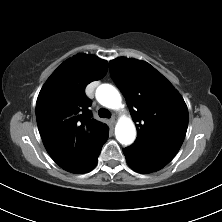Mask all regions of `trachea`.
<instances>
[{
  "label": "trachea",
  "instance_id": "trachea-1",
  "mask_svg": "<svg viewBox=\"0 0 222 222\" xmlns=\"http://www.w3.org/2000/svg\"><path fill=\"white\" fill-rule=\"evenodd\" d=\"M98 114L101 118H110L111 117V113L108 110L103 109V108L99 109Z\"/></svg>",
  "mask_w": 222,
  "mask_h": 222
}]
</instances>
